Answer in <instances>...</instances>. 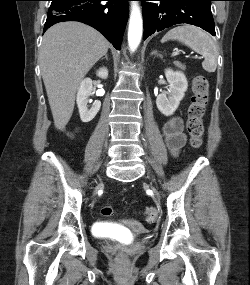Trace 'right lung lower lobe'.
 <instances>
[{
  "instance_id": "98d812e1",
  "label": "right lung lower lobe",
  "mask_w": 250,
  "mask_h": 285,
  "mask_svg": "<svg viewBox=\"0 0 250 285\" xmlns=\"http://www.w3.org/2000/svg\"><path fill=\"white\" fill-rule=\"evenodd\" d=\"M61 0L53 2L48 10L44 32L62 21H79L88 24L120 50L128 18L129 0Z\"/></svg>"
}]
</instances>
